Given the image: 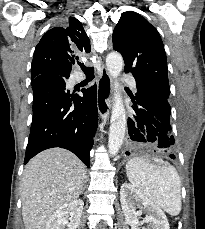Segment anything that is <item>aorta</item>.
Here are the masks:
<instances>
[{
	"instance_id": "1",
	"label": "aorta",
	"mask_w": 205,
	"mask_h": 229,
	"mask_svg": "<svg viewBox=\"0 0 205 229\" xmlns=\"http://www.w3.org/2000/svg\"><path fill=\"white\" fill-rule=\"evenodd\" d=\"M124 62L121 54L111 52L106 57V67L114 84V103L110 119V130L108 138L109 153L115 156L120 150L126 130V110L119 92L120 84L118 77L123 69Z\"/></svg>"
}]
</instances>
